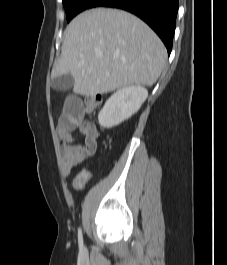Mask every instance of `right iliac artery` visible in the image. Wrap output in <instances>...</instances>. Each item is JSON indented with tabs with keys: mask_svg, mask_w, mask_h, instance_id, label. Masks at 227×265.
Instances as JSON below:
<instances>
[{
	"mask_svg": "<svg viewBox=\"0 0 227 265\" xmlns=\"http://www.w3.org/2000/svg\"><path fill=\"white\" fill-rule=\"evenodd\" d=\"M78 242H79V247L82 249L83 248V237H82L81 228L78 231Z\"/></svg>",
	"mask_w": 227,
	"mask_h": 265,
	"instance_id": "right-iliac-artery-1",
	"label": "right iliac artery"
}]
</instances>
